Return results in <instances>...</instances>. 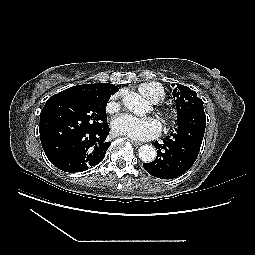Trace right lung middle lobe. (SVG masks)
Returning <instances> with one entry per match:
<instances>
[{
	"mask_svg": "<svg viewBox=\"0 0 255 255\" xmlns=\"http://www.w3.org/2000/svg\"><path fill=\"white\" fill-rule=\"evenodd\" d=\"M109 96L53 95L40 113V139L44 151L56 153L71 138L107 124Z\"/></svg>",
	"mask_w": 255,
	"mask_h": 255,
	"instance_id": "obj_1",
	"label": "right lung middle lobe"
}]
</instances>
